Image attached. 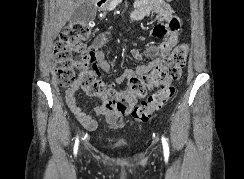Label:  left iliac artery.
<instances>
[{
  "instance_id": "44dca946",
  "label": "left iliac artery",
  "mask_w": 244,
  "mask_h": 179,
  "mask_svg": "<svg viewBox=\"0 0 244 179\" xmlns=\"http://www.w3.org/2000/svg\"><path fill=\"white\" fill-rule=\"evenodd\" d=\"M162 144H163V149H164V155L169 156L168 143L166 142V139L164 137H162Z\"/></svg>"
}]
</instances>
